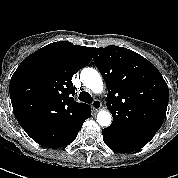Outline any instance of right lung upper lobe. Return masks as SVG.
I'll return each instance as SVG.
<instances>
[{"label":"right lung upper lobe","instance_id":"right-lung-upper-lobe-1","mask_svg":"<svg viewBox=\"0 0 178 178\" xmlns=\"http://www.w3.org/2000/svg\"><path fill=\"white\" fill-rule=\"evenodd\" d=\"M92 49L70 42L51 43L22 61L10 80L14 114L38 144L60 148L71 143L91 108L74 101L72 76L89 64Z\"/></svg>","mask_w":178,"mask_h":178}]
</instances>
